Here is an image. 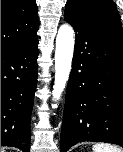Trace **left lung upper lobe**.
I'll list each match as a JSON object with an SVG mask.
<instances>
[{
	"label": "left lung upper lobe",
	"instance_id": "obj_1",
	"mask_svg": "<svg viewBox=\"0 0 123 152\" xmlns=\"http://www.w3.org/2000/svg\"><path fill=\"white\" fill-rule=\"evenodd\" d=\"M65 14H77L86 22L123 41L120 16L112 0H68Z\"/></svg>",
	"mask_w": 123,
	"mask_h": 152
}]
</instances>
